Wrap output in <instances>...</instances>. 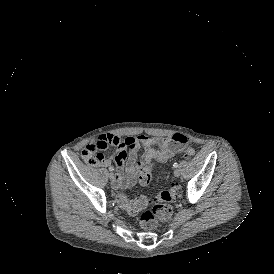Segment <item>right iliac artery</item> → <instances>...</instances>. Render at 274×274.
Segmentation results:
<instances>
[{
  "label": "right iliac artery",
  "instance_id": "right-iliac-artery-1",
  "mask_svg": "<svg viewBox=\"0 0 274 274\" xmlns=\"http://www.w3.org/2000/svg\"><path fill=\"white\" fill-rule=\"evenodd\" d=\"M109 170H110V171H113V170H114V168H113V167H109Z\"/></svg>",
  "mask_w": 274,
  "mask_h": 274
}]
</instances>
